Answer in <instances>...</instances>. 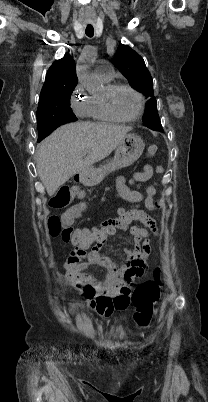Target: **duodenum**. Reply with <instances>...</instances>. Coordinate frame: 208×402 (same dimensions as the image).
Returning <instances> with one entry per match:
<instances>
[{"label":"duodenum","mask_w":208,"mask_h":402,"mask_svg":"<svg viewBox=\"0 0 208 402\" xmlns=\"http://www.w3.org/2000/svg\"><path fill=\"white\" fill-rule=\"evenodd\" d=\"M87 176L86 172H81L80 174L76 175V181H82Z\"/></svg>","instance_id":"1"}]
</instances>
